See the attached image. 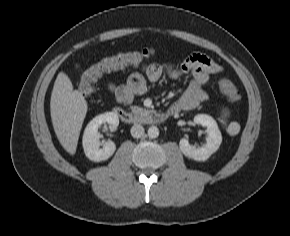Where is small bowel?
I'll return each mask as SVG.
<instances>
[{
  "label": "small bowel",
  "instance_id": "small-bowel-1",
  "mask_svg": "<svg viewBox=\"0 0 290 236\" xmlns=\"http://www.w3.org/2000/svg\"><path fill=\"white\" fill-rule=\"evenodd\" d=\"M222 71V66L209 56L203 53H192L179 66L169 61L144 63L141 65L140 72L131 74L126 84L116 85L109 82L107 89L117 103L127 106L132 103L135 96L147 91L149 82H157L165 74L174 79L190 74L191 80L183 95L168 109L171 114H175L194 109L204 102L208 98L204 87L209 84L211 75Z\"/></svg>",
  "mask_w": 290,
  "mask_h": 236
}]
</instances>
